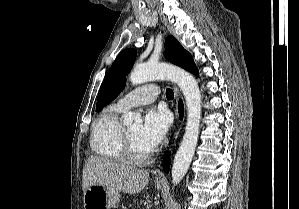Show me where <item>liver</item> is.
Listing matches in <instances>:
<instances>
[{
  "instance_id": "1",
  "label": "liver",
  "mask_w": 299,
  "mask_h": 209,
  "mask_svg": "<svg viewBox=\"0 0 299 209\" xmlns=\"http://www.w3.org/2000/svg\"><path fill=\"white\" fill-rule=\"evenodd\" d=\"M149 181V172L115 161L91 156L83 168L82 189L99 184L129 194L139 193Z\"/></svg>"
}]
</instances>
